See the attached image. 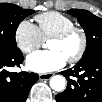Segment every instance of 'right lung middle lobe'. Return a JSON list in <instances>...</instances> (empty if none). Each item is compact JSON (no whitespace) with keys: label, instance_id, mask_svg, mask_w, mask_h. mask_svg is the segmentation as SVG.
Returning <instances> with one entry per match:
<instances>
[{"label":"right lung middle lobe","instance_id":"1","mask_svg":"<svg viewBox=\"0 0 102 102\" xmlns=\"http://www.w3.org/2000/svg\"><path fill=\"white\" fill-rule=\"evenodd\" d=\"M34 12V10L22 9L11 3L0 4V51L20 50L15 41L17 27L25 17Z\"/></svg>","mask_w":102,"mask_h":102}]
</instances>
